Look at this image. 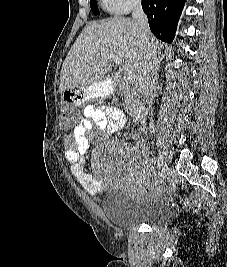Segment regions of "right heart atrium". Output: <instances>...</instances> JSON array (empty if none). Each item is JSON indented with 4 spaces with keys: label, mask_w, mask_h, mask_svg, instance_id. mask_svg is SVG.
<instances>
[{
    "label": "right heart atrium",
    "mask_w": 227,
    "mask_h": 267,
    "mask_svg": "<svg viewBox=\"0 0 227 267\" xmlns=\"http://www.w3.org/2000/svg\"><path fill=\"white\" fill-rule=\"evenodd\" d=\"M103 3L116 13H127L141 5V0H103Z\"/></svg>",
    "instance_id": "d8ad5b80"
}]
</instances>
